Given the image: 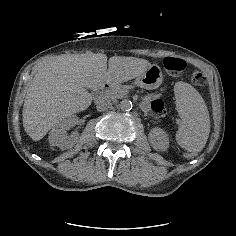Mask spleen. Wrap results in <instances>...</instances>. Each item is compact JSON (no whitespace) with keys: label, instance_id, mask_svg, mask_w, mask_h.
Masks as SVG:
<instances>
[{"label":"spleen","instance_id":"obj_1","mask_svg":"<svg viewBox=\"0 0 236 236\" xmlns=\"http://www.w3.org/2000/svg\"><path fill=\"white\" fill-rule=\"evenodd\" d=\"M175 97L176 109L181 118L176 141L189 152H200L210 133L207 106L200 93L187 83L176 84Z\"/></svg>","mask_w":236,"mask_h":236}]
</instances>
